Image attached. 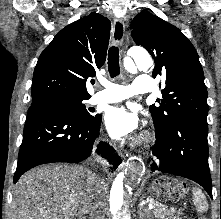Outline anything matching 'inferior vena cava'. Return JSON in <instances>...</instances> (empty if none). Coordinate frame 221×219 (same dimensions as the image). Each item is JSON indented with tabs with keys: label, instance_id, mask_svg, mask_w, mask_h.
<instances>
[{
	"label": "inferior vena cava",
	"instance_id": "602c4592",
	"mask_svg": "<svg viewBox=\"0 0 221 219\" xmlns=\"http://www.w3.org/2000/svg\"><path fill=\"white\" fill-rule=\"evenodd\" d=\"M92 180L91 190L94 192L89 207V219H104L102 200L103 181L101 180V175H92Z\"/></svg>",
	"mask_w": 221,
	"mask_h": 219
}]
</instances>
